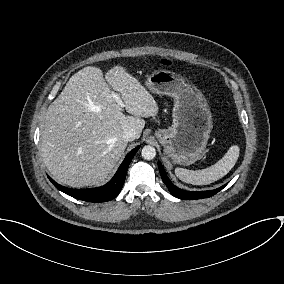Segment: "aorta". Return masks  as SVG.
<instances>
[{"instance_id":"aorta-1","label":"aorta","mask_w":284,"mask_h":284,"mask_svg":"<svg viewBox=\"0 0 284 284\" xmlns=\"http://www.w3.org/2000/svg\"><path fill=\"white\" fill-rule=\"evenodd\" d=\"M141 155L146 160H152L156 156V149L153 146L146 145L142 148Z\"/></svg>"}]
</instances>
